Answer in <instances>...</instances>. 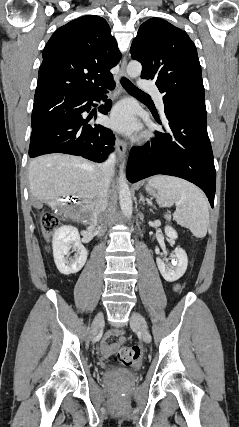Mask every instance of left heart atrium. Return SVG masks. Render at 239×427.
Listing matches in <instances>:
<instances>
[{"instance_id":"1","label":"left heart atrium","mask_w":239,"mask_h":427,"mask_svg":"<svg viewBox=\"0 0 239 427\" xmlns=\"http://www.w3.org/2000/svg\"><path fill=\"white\" fill-rule=\"evenodd\" d=\"M109 124L112 128L123 133H132L138 128L133 106L121 102L111 112Z\"/></svg>"}]
</instances>
